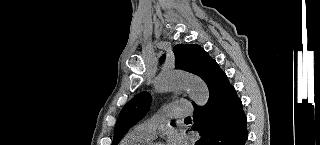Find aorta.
Instances as JSON below:
<instances>
[{"label":"aorta","instance_id":"obj_1","mask_svg":"<svg viewBox=\"0 0 320 145\" xmlns=\"http://www.w3.org/2000/svg\"><path fill=\"white\" fill-rule=\"evenodd\" d=\"M154 85L158 92L187 89L191 99L199 106L205 105L209 99L206 83L201 78L187 73L178 71L161 72L156 77Z\"/></svg>","mask_w":320,"mask_h":145}]
</instances>
